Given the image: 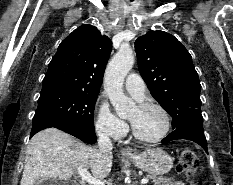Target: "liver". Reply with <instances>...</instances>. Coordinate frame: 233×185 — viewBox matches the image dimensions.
I'll return each mask as SVG.
<instances>
[{
  "mask_svg": "<svg viewBox=\"0 0 233 185\" xmlns=\"http://www.w3.org/2000/svg\"><path fill=\"white\" fill-rule=\"evenodd\" d=\"M112 159V153H100L59 129L47 128L35 134L27 146L20 185H40L50 178L65 181L79 167L90 168L101 180L111 172Z\"/></svg>",
  "mask_w": 233,
  "mask_h": 185,
  "instance_id": "6515ba94",
  "label": "liver"
}]
</instances>
